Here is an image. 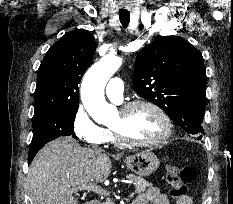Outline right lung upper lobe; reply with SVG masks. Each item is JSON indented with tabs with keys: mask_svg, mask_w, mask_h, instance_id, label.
I'll list each match as a JSON object with an SVG mask.
<instances>
[{
	"mask_svg": "<svg viewBox=\"0 0 233 204\" xmlns=\"http://www.w3.org/2000/svg\"><path fill=\"white\" fill-rule=\"evenodd\" d=\"M95 49V38L86 30L68 32L50 47L38 69L35 112L79 105L78 84Z\"/></svg>",
	"mask_w": 233,
	"mask_h": 204,
	"instance_id": "right-lung-upper-lobe-1",
	"label": "right lung upper lobe"
}]
</instances>
